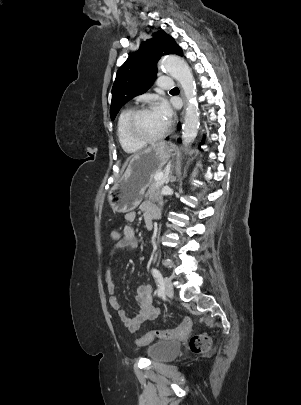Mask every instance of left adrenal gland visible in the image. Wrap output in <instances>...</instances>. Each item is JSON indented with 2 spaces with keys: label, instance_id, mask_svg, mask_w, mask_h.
<instances>
[{
  "label": "left adrenal gland",
  "instance_id": "a2214340",
  "mask_svg": "<svg viewBox=\"0 0 301 405\" xmlns=\"http://www.w3.org/2000/svg\"><path fill=\"white\" fill-rule=\"evenodd\" d=\"M171 174H172V172H171ZM171 174L169 175V177H168V179H167L168 181L174 180Z\"/></svg>",
  "mask_w": 301,
  "mask_h": 405
}]
</instances>
